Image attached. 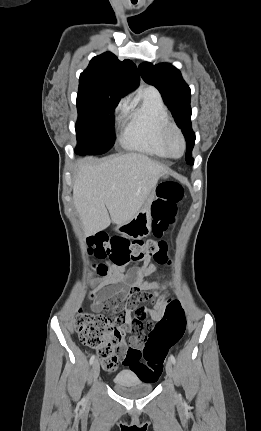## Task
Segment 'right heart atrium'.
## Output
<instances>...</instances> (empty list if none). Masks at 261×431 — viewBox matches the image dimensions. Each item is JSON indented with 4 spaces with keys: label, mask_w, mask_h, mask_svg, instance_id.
I'll use <instances>...</instances> for the list:
<instances>
[{
    "label": "right heart atrium",
    "mask_w": 261,
    "mask_h": 431,
    "mask_svg": "<svg viewBox=\"0 0 261 431\" xmlns=\"http://www.w3.org/2000/svg\"><path fill=\"white\" fill-rule=\"evenodd\" d=\"M126 108H127V100H126V99H123V100H121V102L118 104V106H117V108H116V111H117V113L122 114V113H124V112H125Z\"/></svg>",
    "instance_id": "right-heart-atrium-1"
}]
</instances>
